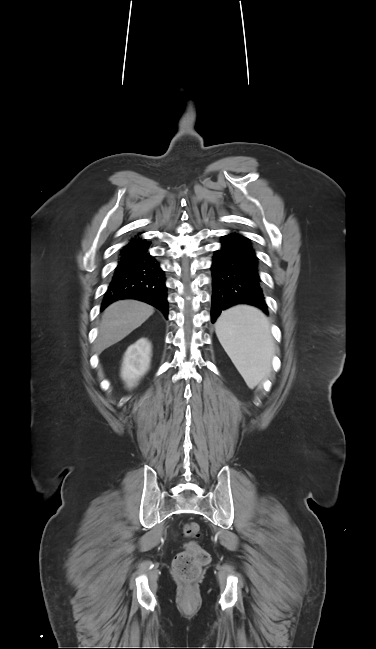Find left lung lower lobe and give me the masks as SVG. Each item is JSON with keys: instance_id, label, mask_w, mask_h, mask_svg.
Returning a JSON list of instances; mask_svg holds the SVG:
<instances>
[{"instance_id": "left-lung-lower-lobe-1", "label": "left lung lower lobe", "mask_w": 376, "mask_h": 649, "mask_svg": "<svg viewBox=\"0 0 376 649\" xmlns=\"http://www.w3.org/2000/svg\"><path fill=\"white\" fill-rule=\"evenodd\" d=\"M221 244V248L215 251L211 266L212 323L222 310L242 303L256 306L268 314L258 275V258L249 240L231 233L221 238Z\"/></svg>"}]
</instances>
